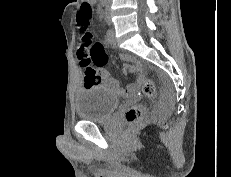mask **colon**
Segmentation results:
<instances>
[{"mask_svg": "<svg viewBox=\"0 0 231 177\" xmlns=\"http://www.w3.org/2000/svg\"><path fill=\"white\" fill-rule=\"evenodd\" d=\"M92 17V7L88 3L81 5L77 25L81 32V41L78 49V57L85 67L84 77L86 80L97 79V72L91 67L104 65L108 56L101 44L93 40V35L90 30V21ZM143 90L146 96L150 97L155 92L154 84L151 80H146L143 85ZM143 117L142 106H134L126 112V119L130 124L139 122Z\"/></svg>", "mask_w": 231, "mask_h": 177, "instance_id": "colon-1", "label": "colon"}]
</instances>
